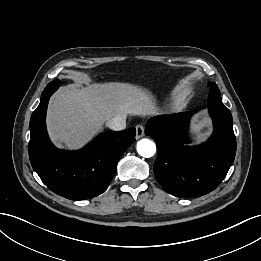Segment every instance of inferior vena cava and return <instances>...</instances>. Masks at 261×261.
<instances>
[{
    "mask_svg": "<svg viewBox=\"0 0 261 261\" xmlns=\"http://www.w3.org/2000/svg\"><path fill=\"white\" fill-rule=\"evenodd\" d=\"M106 125L114 131L124 130L126 128V115H116L107 121Z\"/></svg>",
    "mask_w": 261,
    "mask_h": 261,
    "instance_id": "obj_1",
    "label": "inferior vena cava"
}]
</instances>
